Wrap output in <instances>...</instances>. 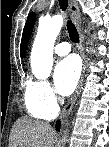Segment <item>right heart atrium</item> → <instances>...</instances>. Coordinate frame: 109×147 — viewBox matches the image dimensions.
Returning <instances> with one entry per match:
<instances>
[{"label": "right heart atrium", "instance_id": "1", "mask_svg": "<svg viewBox=\"0 0 109 147\" xmlns=\"http://www.w3.org/2000/svg\"><path fill=\"white\" fill-rule=\"evenodd\" d=\"M29 96L43 109L57 113L59 103L52 87L45 81H35L29 89Z\"/></svg>", "mask_w": 109, "mask_h": 147}]
</instances>
